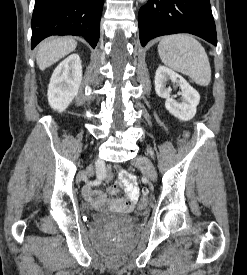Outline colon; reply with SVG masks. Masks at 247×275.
Here are the masks:
<instances>
[{
	"mask_svg": "<svg viewBox=\"0 0 247 275\" xmlns=\"http://www.w3.org/2000/svg\"><path fill=\"white\" fill-rule=\"evenodd\" d=\"M150 200V194L148 189H143L141 191V196H140V202H139V207L144 208L147 206Z\"/></svg>",
	"mask_w": 247,
	"mask_h": 275,
	"instance_id": "obj_1",
	"label": "colon"
}]
</instances>
